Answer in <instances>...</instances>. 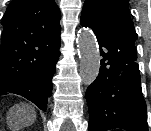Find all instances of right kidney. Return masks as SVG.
<instances>
[{
    "instance_id": "ca27d5eb",
    "label": "right kidney",
    "mask_w": 151,
    "mask_h": 131,
    "mask_svg": "<svg viewBox=\"0 0 151 131\" xmlns=\"http://www.w3.org/2000/svg\"><path fill=\"white\" fill-rule=\"evenodd\" d=\"M16 118H17V117H15V116H14V117H12V120H16ZM27 118H28V117H27ZM27 118H26V119H25V121H24V122H25V124H26V122H27ZM17 128H18V126H17V125H15V124L12 126V130H13V131H16V130H17Z\"/></svg>"
}]
</instances>
